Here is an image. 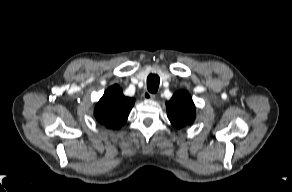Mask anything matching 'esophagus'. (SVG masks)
Here are the masks:
<instances>
[{"label": "esophagus", "mask_w": 292, "mask_h": 192, "mask_svg": "<svg viewBox=\"0 0 292 192\" xmlns=\"http://www.w3.org/2000/svg\"><path fill=\"white\" fill-rule=\"evenodd\" d=\"M143 97L146 100H154L156 98V95L150 92H144Z\"/></svg>", "instance_id": "34e87169"}]
</instances>
